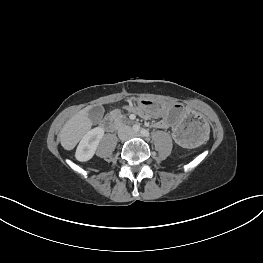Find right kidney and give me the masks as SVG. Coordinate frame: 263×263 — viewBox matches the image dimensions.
I'll list each match as a JSON object with an SVG mask.
<instances>
[{"label":"right kidney","mask_w":263,"mask_h":263,"mask_svg":"<svg viewBox=\"0 0 263 263\" xmlns=\"http://www.w3.org/2000/svg\"><path fill=\"white\" fill-rule=\"evenodd\" d=\"M104 136V129L101 127H96L85 134L81 139L75 157L81 162L90 160L99 145L100 140Z\"/></svg>","instance_id":"1"}]
</instances>
